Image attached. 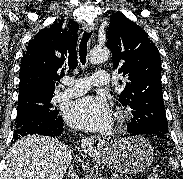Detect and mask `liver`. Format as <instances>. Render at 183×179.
Masks as SVG:
<instances>
[{
  "label": "liver",
  "instance_id": "6515ba94",
  "mask_svg": "<svg viewBox=\"0 0 183 179\" xmlns=\"http://www.w3.org/2000/svg\"><path fill=\"white\" fill-rule=\"evenodd\" d=\"M71 160V150L59 140L27 135L10 148L1 179H62Z\"/></svg>",
  "mask_w": 183,
  "mask_h": 179
}]
</instances>
